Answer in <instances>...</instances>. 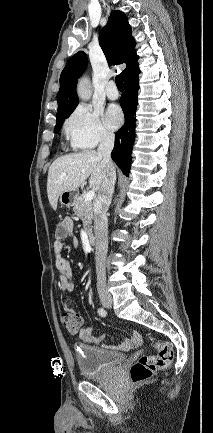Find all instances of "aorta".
<instances>
[{
  "mask_svg": "<svg viewBox=\"0 0 213 433\" xmlns=\"http://www.w3.org/2000/svg\"><path fill=\"white\" fill-rule=\"evenodd\" d=\"M77 93L81 100L87 101L90 99L92 91L90 81L87 77L81 78L77 87Z\"/></svg>",
  "mask_w": 213,
  "mask_h": 433,
  "instance_id": "obj_1",
  "label": "aorta"
}]
</instances>
